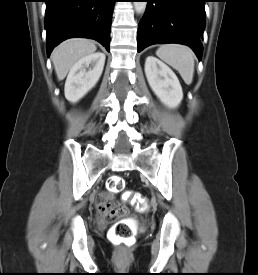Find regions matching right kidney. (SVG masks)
Instances as JSON below:
<instances>
[{"mask_svg": "<svg viewBox=\"0 0 258 275\" xmlns=\"http://www.w3.org/2000/svg\"><path fill=\"white\" fill-rule=\"evenodd\" d=\"M104 63L105 55L101 52L87 55L77 61L70 69L65 82L66 99L75 103L86 95L98 82Z\"/></svg>", "mask_w": 258, "mask_h": 275, "instance_id": "ca27d5eb", "label": "right kidney"}]
</instances>
